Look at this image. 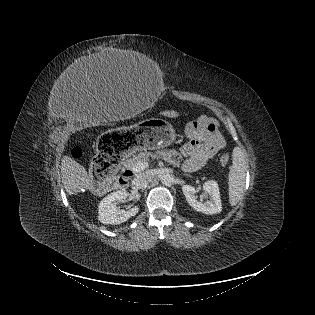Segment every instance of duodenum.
<instances>
[{
	"instance_id": "duodenum-1",
	"label": "duodenum",
	"mask_w": 315,
	"mask_h": 315,
	"mask_svg": "<svg viewBox=\"0 0 315 315\" xmlns=\"http://www.w3.org/2000/svg\"><path fill=\"white\" fill-rule=\"evenodd\" d=\"M132 176H133L132 170L127 167H123L117 180V186L118 187L127 186Z\"/></svg>"
}]
</instances>
